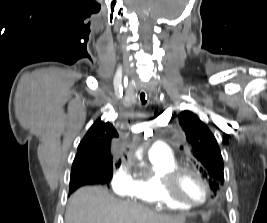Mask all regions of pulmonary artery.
<instances>
[{
	"mask_svg": "<svg viewBox=\"0 0 267 223\" xmlns=\"http://www.w3.org/2000/svg\"><path fill=\"white\" fill-rule=\"evenodd\" d=\"M149 157L166 159L171 157L169 146L164 142L154 143L148 151Z\"/></svg>",
	"mask_w": 267,
	"mask_h": 223,
	"instance_id": "pulmonary-artery-1",
	"label": "pulmonary artery"
}]
</instances>
